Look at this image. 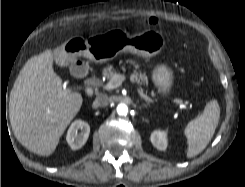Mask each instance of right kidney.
<instances>
[{"instance_id": "ca27d5eb", "label": "right kidney", "mask_w": 245, "mask_h": 187, "mask_svg": "<svg viewBox=\"0 0 245 187\" xmlns=\"http://www.w3.org/2000/svg\"><path fill=\"white\" fill-rule=\"evenodd\" d=\"M80 130V132H79ZM90 126L82 120L74 121L68 129L66 140L73 150L80 149L87 141Z\"/></svg>"}]
</instances>
